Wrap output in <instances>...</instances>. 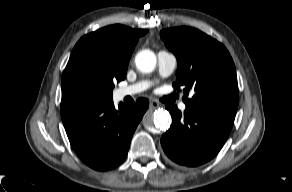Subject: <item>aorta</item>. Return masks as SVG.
<instances>
[{
	"label": "aorta",
	"instance_id": "aorta-1",
	"mask_svg": "<svg viewBox=\"0 0 292 192\" xmlns=\"http://www.w3.org/2000/svg\"><path fill=\"white\" fill-rule=\"evenodd\" d=\"M135 63L143 73L152 72L156 66L157 59L150 50L139 52L135 58ZM171 115L167 110L158 109L154 114L143 119V125L149 130L166 131L171 125Z\"/></svg>",
	"mask_w": 292,
	"mask_h": 192
}]
</instances>
